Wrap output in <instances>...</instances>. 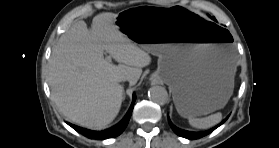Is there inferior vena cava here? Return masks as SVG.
<instances>
[{"instance_id": "inferior-vena-cava-1", "label": "inferior vena cava", "mask_w": 279, "mask_h": 148, "mask_svg": "<svg viewBox=\"0 0 279 148\" xmlns=\"http://www.w3.org/2000/svg\"><path fill=\"white\" fill-rule=\"evenodd\" d=\"M128 80V78L126 77V76H120L119 77V81L121 82V81H127Z\"/></svg>"}]
</instances>
